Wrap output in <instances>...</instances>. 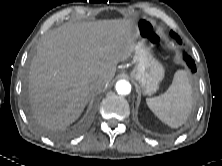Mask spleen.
I'll return each instance as SVG.
<instances>
[{"label": "spleen", "mask_w": 222, "mask_h": 166, "mask_svg": "<svg viewBox=\"0 0 222 166\" xmlns=\"http://www.w3.org/2000/svg\"><path fill=\"white\" fill-rule=\"evenodd\" d=\"M192 88L184 70L175 72L167 91L160 96L147 98L150 110L172 128L183 125L192 108Z\"/></svg>", "instance_id": "3e777b00"}]
</instances>
